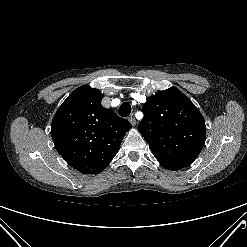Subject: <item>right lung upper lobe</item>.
<instances>
[{"label": "right lung upper lobe", "mask_w": 247, "mask_h": 247, "mask_svg": "<svg viewBox=\"0 0 247 247\" xmlns=\"http://www.w3.org/2000/svg\"><path fill=\"white\" fill-rule=\"evenodd\" d=\"M103 94L89 86L74 90L51 125L56 150L83 174L103 171L115 157L131 124L101 105Z\"/></svg>", "instance_id": "cb5924a9"}]
</instances>
